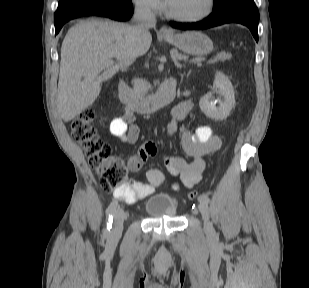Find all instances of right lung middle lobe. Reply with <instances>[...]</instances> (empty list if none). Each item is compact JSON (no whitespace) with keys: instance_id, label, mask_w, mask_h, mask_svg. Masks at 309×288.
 <instances>
[{"instance_id":"obj_1","label":"right lung middle lobe","mask_w":309,"mask_h":288,"mask_svg":"<svg viewBox=\"0 0 309 288\" xmlns=\"http://www.w3.org/2000/svg\"><path fill=\"white\" fill-rule=\"evenodd\" d=\"M87 1L90 0H60L54 18ZM114 1H131V0H114Z\"/></svg>"}]
</instances>
